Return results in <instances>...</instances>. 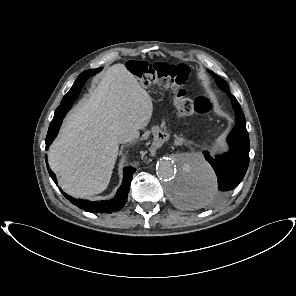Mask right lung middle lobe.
<instances>
[{"mask_svg":"<svg viewBox=\"0 0 296 296\" xmlns=\"http://www.w3.org/2000/svg\"><path fill=\"white\" fill-rule=\"evenodd\" d=\"M101 69H102V68L93 69V70L97 73V72H99ZM67 101H69V97H68V95H65V96L63 97L62 101H61V104H62V103L64 104V103H66ZM73 101H74V100H73ZM73 101H71V103H72Z\"/></svg>","mask_w":296,"mask_h":296,"instance_id":"1","label":"right lung middle lobe"}]
</instances>
